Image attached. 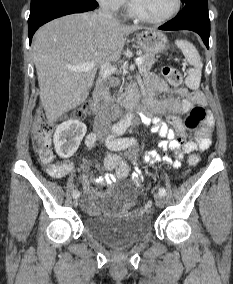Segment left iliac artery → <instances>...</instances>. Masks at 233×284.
Instances as JSON below:
<instances>
[{"label":"left iliac artery","instance_id":"44dca946","mask_svg":"<svg viewBox=\"0 0 233 284\" xmlns=\"http://www.w3.org/2000/svg\"><path fill=\"white\" fill-rule=\"evenodd\" d=\"M122 134H123V131L121 129H117L115 131V134L108 136V138L106 140L107 147L112 149V150H121V149H125V148H127V147H129V146H131L135 143L134 138H117V139H115L116 136H120ZM158 192L161 196L166 195V190L164 188H160Z\"/></svg>","mask_w":233,"mask_h":284}]
</instances>
